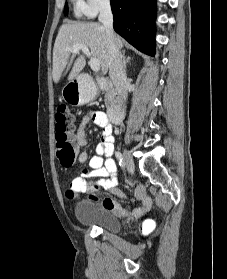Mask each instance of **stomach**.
Instances as JSON below:
<instances>
[{"label": "stomach", "mask_w": 227, "mask_h": 279, "mask_svg": "<svg viewBox=\"0 0 227 279\" xmlns=\"http://www.w3.org/2000/svg\"><path fill=\"white\" fill-rule=\"evenodd\" d=\"M96 95L97 88L91 81H80L78 78L69 81L62 90L63 99L73 106L88 103Z\"/></svg>", "instance_id": "0dacf381"}]
</instances>
